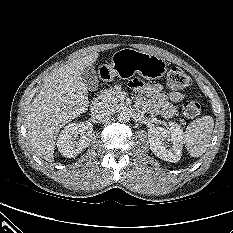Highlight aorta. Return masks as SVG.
<instances>
[{"mask_svg": "<svg viewBox=\"0 0 233 233\" xmlns=\"http://www.w3.org/2000/svg\"><path fill=\"white\" fill-rule=\"evenodd\" d=\"M118 120H119L121 123H127V122L130 120V115L128 114L127 111H121V112L118 114Z\"/></svg>", "mask_w": 233, "mask_h": 233, "instance_id": "obj_1", "label": "aorta"}]
</instances>
